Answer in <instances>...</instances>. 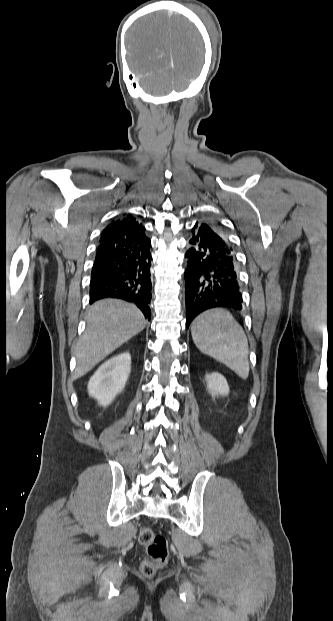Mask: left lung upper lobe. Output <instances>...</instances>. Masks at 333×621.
Wrapping results in <instances>:
<instances>
[{
    "label": "left lung upper lobe",
    "instance_id": "1",
    "mask_svg": "<svg viewBox=\"0 0 333 621\" xmlns=\"http://www.w3.org/2000/svg\"><path fill=\"white\" fill-rule=\"evenodd\" d=\"M201 225L209 226L221 238V240L227 247L233 249L231 242L228 239V235L220 228V226L216 222L209 220L205 224H201Z\"/></svg>",
    "mask_w": 333,
    "mask_h": 621
}]
</instances>
